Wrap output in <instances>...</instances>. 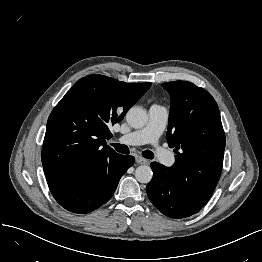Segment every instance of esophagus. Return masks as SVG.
I'll use <instances>...</instances> for the list:
<instances>
[{
    "label": "esophagus",
    "instance_id": "obj_1",
    "mask_svg": "<svg viewBox=\"0 0 262 262\" xmlns=\"http://www.w3.org/2000/svg\"><path fill=\"white\" fill-rule=\"evenodd\" d=\"M135 161L138 164H148V160H146L145 158H143L141 156H136Z\"/></svg>",
    "mask_w": 262,
    "mask_h": 262
}]
</instances>
